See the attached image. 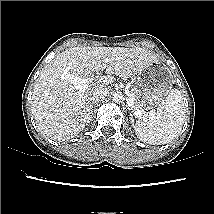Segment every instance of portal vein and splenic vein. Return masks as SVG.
I'll list each match as a JSON object with an SVG mask.
<instances>
[{
    "label": "portal vein and splenic vein",
    "mask_w": 214,
    "mask_h": 214,
    "mask_svg": "<svg viewBox=\"0 0 214 214\" xmlns=\"http://www.w3.org/2000/svg\"><path fill=\"white\" fill-rule=\"evenodd\" d=\"M108 61V59H107ZM62 79L69 80L74 86L79 90H85L89 83H92L95 80V77L90 78H80L78 76L71 75L70 73L64 71L62 74ZM128 106H132L134 104V98L130 95L127 99ZM143 114L142 110H137L134 112V115L139 117Z\"/></svg>",
    "instance_id": "1"
}]
</instances>
